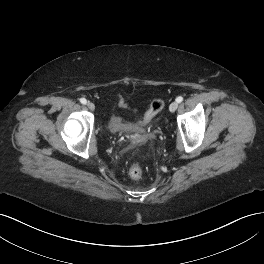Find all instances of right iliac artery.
Instances as JSON below:
<instances>
[{
	"mask_svg": "<svg viewBox=\"0 0 264 264\" xmlns=\"http://www.w3.org/2000/svg\"><path fill=\"white\" fill-rule=\"evenodd\" d=\"M80 102L85 105L87 103V100L85 98H81Z\"/></svg>",
	"mask_w": 264,
	"mask_h": 264,
	"instance_id": "right-iliac-artery-1",
	"label": "right iliac artery"
}]
</instances>
